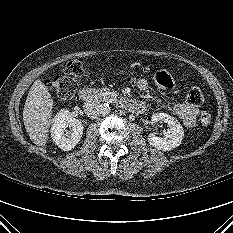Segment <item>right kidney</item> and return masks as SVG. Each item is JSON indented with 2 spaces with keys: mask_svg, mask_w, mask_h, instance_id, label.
Returning <instances> with one entry per match:
<instances>
[{
  "mask_svg": "<svg viewBox=\"0 0 233 233\" xmlns=\"http://www.w3.org/2000/svg\"><path fill=\"white\" fill-rule=\"evenodd\" d=\"M83 130L82 122L71 117L69 110L62 109L53 119L51 137L60 149L69 151L79 143Z\"/></svg>",
  "mask_w": 233,
  "mask_h": 233,
  "instance_id": "ca27d5eb",
  "label": "right kidney"
}]
</instances>
